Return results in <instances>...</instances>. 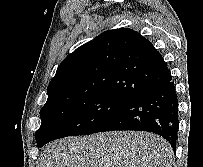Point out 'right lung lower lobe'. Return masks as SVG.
<instances>
[{
  "mask_svg": "<svg viewBox=\"0 0 203 167\" xmlns=\"http://www.w3.org/2000/svg\"><path fill=\"white\" fill-rule=\"evenodd\" d=\"M179 127L178 99L171 75L161 85L130 101L95 133L135 130L156 133L176 149Z\"/></svg>",
  "mask_w": 203,
  "mask_h": 167,
  "instance_id": "obj_1",
  "label": "right lung lower lobe"
}]
</instances>
